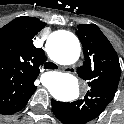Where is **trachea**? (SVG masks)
Segmentation results:
<instances>
[{"label":"trachea","mask_w":124,"mask_h":124,"mask_svg":"<svg viewBox=\"0 0 124 124\" xmlns=\"http://www.w3.org/2000/svg\"><path fill=\"white\" fill-rule=\"evenodd\" d=\"M45 68H47V69H56L57 66L54 63H52V62H47L45 64Z\"/></svg>","instance_id":"trachea-1"}]
</instances>
